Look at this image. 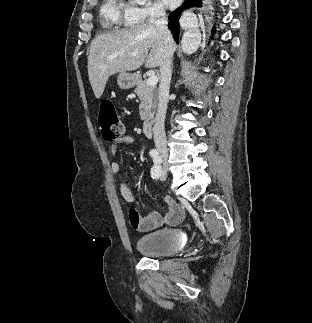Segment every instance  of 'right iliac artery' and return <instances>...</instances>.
Here are the masks:
<instances>
[{
    "instance_id": "1",
    "label": "right iliac artery",
    "mask_w": 312,
    "mask_h": 323,
    "mask_svg": "<svg viewBox=\"0 0 312 323\" xmlns=\"http://www.w3.org/2000/svg\"><path fill=\"white\" fill-rule=\"evenodd\" d=\"M154 163H155V166L158 167L161 170L162 159L161 158H155Z\"/></svg>"
}]
</instances>
